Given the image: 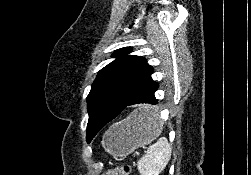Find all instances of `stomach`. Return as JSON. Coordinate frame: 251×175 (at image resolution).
Segmentation results:
<instances>
[{"label": "stomach", "mask_w": 251, "mask_h": 175, "mask_svg": "<svg viewBox=\"0 0 251 175\" xmlns=\"http://www.w3.org/2000/svg\"><path fill=\"white\" fill-rule=\"evenodd\" d=\"M143 111H153V114H143L141 107H137L128 117L110 125L102 139L105 151L114 157H126L159 134H168V129H161L166 128V123L155 113L157 106H143Z\"/></svg>", "instance_id": "stomach-1"}]
</instances>
